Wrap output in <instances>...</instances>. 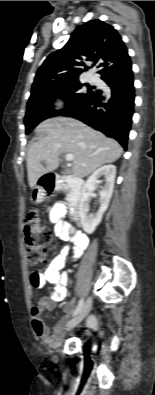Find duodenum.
I'll use <instances>...</instances> for the list:
<instances>
[{"mask_svg": "<svg viewBox=\"0 0 155 395\" xmlns=\"http://www.w3.org/2000/svg\"><path fill=\"white\" fill-rule=\"evenodd\" d=\"M43 187L49 191L65 190L70 214L78 220L83 199L84 181L79 177L48 173L42 178Z\"/></svg>", "mask_w": 155, "mask_h": 395, "instance_id": "1", "label": "duodenum"}]
</instances>
